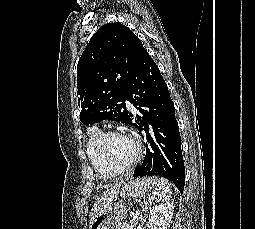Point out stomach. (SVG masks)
<instances>
[{
    "label": "stomach",
    "instance_id": "obj_1",
    "mask_svg": "<svg viewBox=\"0 0 255 229\" xmlns=\"http://www.w3.org/2000/svg\"><path fill=\"white\" fill-rule=\"evenodd\" d=\"M155 187L156 181L154 178L129 180L122 185L120 196L124 200L139 198L154 190ZM126 216L127 210L124 202H112L90 218L88 229H116Z\"/></svg>",
    "mask_w": 255,
    "mask_h": 229
}]
</instances>
